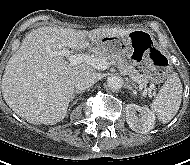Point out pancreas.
I'll use <instances>...</instances> for the list:
<instances>
[{
	"label": "pancreas",
	"mask_w": 190,
	"mask_h": 165,
	"mask_svg": "<svg viewBox=\"0 0 190 165\" xmlns=\"http://www.w3.org/2000/svg\"><path fill=\"white\" fill-rule=\"evenodd\" d=\"M95 58L105 60L111 65H116L123 74L128 75L134 82H136L139 85L147 83L144 75L140 74L138 70H136L133 66L125 62L119 54L103 55L96 53Z\"/></svg>",
	"instance_id": "pancreas-1"
}]
</instances>
